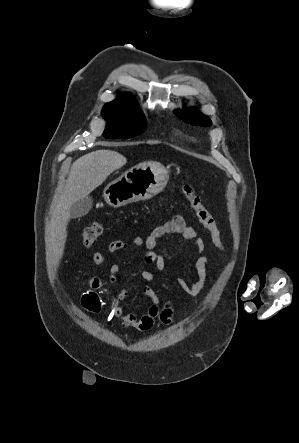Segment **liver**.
Returning a JSON list of instances; mask_svg holds the SVG:
<instances>
[{
  "label": "liver",
  "mask_w": 299,
  "mask_h": 443,
  "mask_svg": "<svg viewBox=\"0 0 299 443\" xmlns=\"http://www.w3.org/2000/svg\"><path fill=\"white\" fill-rule=\"evenodd\" d=\"M127 159L113 150H96L78 158L71 167L66 185L52 212L47 246V259L56 267L63 256L66 227L71 205L100 186Z\"/></svg>",
  "instance_id": "liver-1"
}]
</instances>
